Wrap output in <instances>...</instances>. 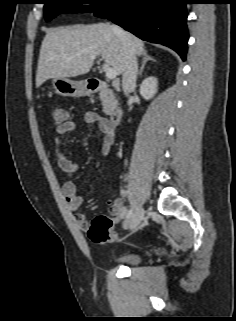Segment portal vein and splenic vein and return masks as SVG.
Here are the masks:
<instances>
[{"label": "portal vein and splenic vein", "instance_id": "18ae733b", "mask_svg": "<svg viewBox=\"0 0 236 321\" xmlns=\"http://www.w3.org/2000/svg\"><path fill=\"white\" fill-rule=\"evenodd\" d=\"M91 59H95V57H92ZM105 73H106V77L108 79H114V78L117 77V71L114 68L106 67L105 68Z\"/></svg>", "mask_w": 236, "mask_h": 321}]
</instances>
